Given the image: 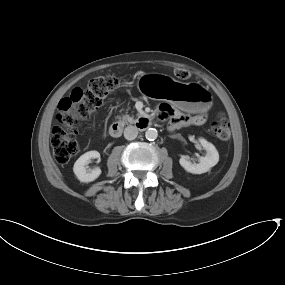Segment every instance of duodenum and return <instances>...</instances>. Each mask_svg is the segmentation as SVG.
Listing matches in <instances>:
<instances>
[{
	"mask_svg": "<svg viewBox=\"0 0 285 285\" xmlns=\"http://www.w3.org/2000/svg\"><path fill=\"white\" fill-rule=\"evenodd\" d=\"M150 120L146 117H143L140 119L139 125L142 128H146L149 124ZM123 124L121 122H114L111 124L110 126V134L113 137H120L122 135L123 132Z\"/></svg>",
	"mask_w": 285,
	"mask_h": 285,
	"instance_id": "410a0bca",
	"label": "duodenum"
}]
</instances>
